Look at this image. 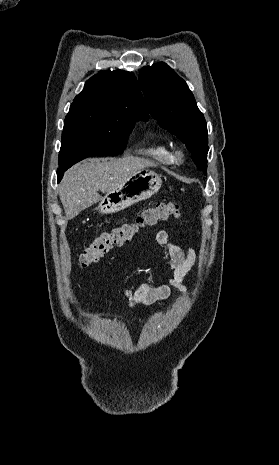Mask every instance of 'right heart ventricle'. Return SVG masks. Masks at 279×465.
Masks as SVG:
<instances>
[{"instance_id": "obj_1", "label": "right heart ventricle", "mask_w": 279, "mask_h": 465, "mask_svg": "<svg viewBox=\"0 0 279 465\" xmlns=\"http://www.w3.org/2000/svg\"><path fill=\"white\" fill-rule=\"evenodd\" d=\"M141 152L163 164H171L174 161L169 146L157 139L152 140L147 146L141 148Z\"/></svg>"}]
</instances>
